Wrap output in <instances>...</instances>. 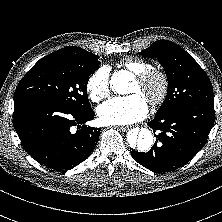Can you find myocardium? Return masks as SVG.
Here are the masks:
<instances>
[{
    "label": "myocardium",
    "mask_w": 222,
    "mask_h": 222,
    "mask_svg": "<svg viewBox=\"0 0 222 222\" xmlns=\"http://www.w3.org/2000/svg\"><path fill=\"white\" fill-rule=\"evenodd\" d=\"M135 80L144 86L157 82L158 88L148 102L153 107L160 106L164 103L169 93L170 81L168 75L163 70L151 68L136 74Z\"/></svg>",
    "instance_id": "f54148a6"
}]
</instances>
